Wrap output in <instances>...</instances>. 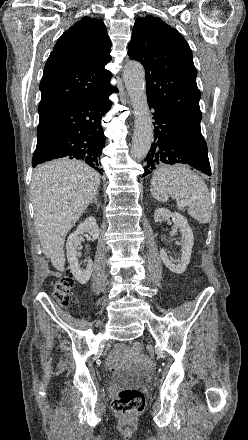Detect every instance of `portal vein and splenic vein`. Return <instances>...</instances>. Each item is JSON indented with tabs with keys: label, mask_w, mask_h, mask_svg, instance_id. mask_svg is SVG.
Returning <instances> with one entry per match:
<instances>
[{
	"label": "portal vein and splenic vein",
	"mask_w": 248,
	"mask_h": 440,
	"mask_svg": "<svg viewBox=\"0 0 248 440\" xmlns=\"http://www.w3.org/2000/svg\"><path fill=\"white\" fill-rule=\"evenodd\" d=\"M186 205V202H180L179 204H178V206H180V207H184Z\"/></svg>",
	"instance_id": "1"
}]
</instances>
